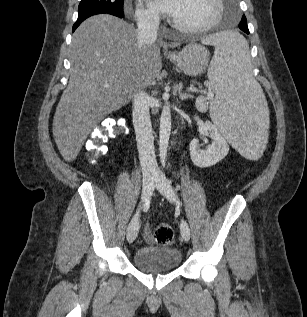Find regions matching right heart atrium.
Segmentation results:
<instances>
[{
	"instance_id": "d8ad5b80",
	"label": "right heart atrium",
	"mask_w": 307,
	"mask_h": 317,
	"mask_svg": "<svg viewBox=\"0 0 307 317\" xmlns=\"http://www.w3.org/2000/svg\"><path fill=\"white\" fill-rule=\"evenodd\" d=\"M135 16L137 22L146 27L154 26L159 20V16L155 11L142 6H138Z\"/></svg>"
}]
</instances>
